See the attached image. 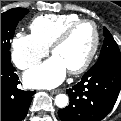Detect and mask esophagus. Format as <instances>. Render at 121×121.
<instances>
[{
  "instance_id": "esophagus-1",
  "label": "esophagus",
  "mask_w": 121,
  "mask_h": 121,
  "mask_svg": "<svg viewBox=\"0 0 121 121\" xmlns=\"http://www.w3.org/2000/svg\"><path fill=\"white\" fill-rule=\"evenodd\" d=\"M61 90L60 89H55V90H51L50 93L51 94H57L59 93Z\"/></svg>"
}]
</instances>
